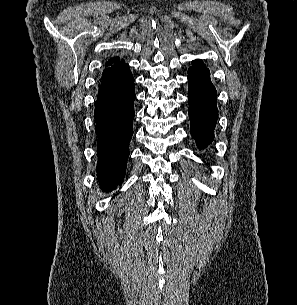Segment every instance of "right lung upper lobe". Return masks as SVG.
Here are the masks:
<instances>
[{
    "mask_svg": "<svg viewBox=\"0 0 297 305\" xmlns=\"http://www.w3.org/2000/svg\"><path fill=\"white\" fill-rule=\"evenodd\" d=\"M125 65L124 60L119 61V57H114L112 59H109L105 66H109L108 68L104 69L102 78L105 77L106 75H109L119 68L123 67Z\"/></svg>",
    "mask_w": 297,
    "mask_h": 305,
    "instance_id": "cb5924a9",
    "label": "right lung upper lobe"
}]
</instances>
